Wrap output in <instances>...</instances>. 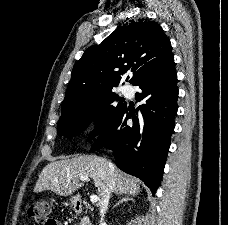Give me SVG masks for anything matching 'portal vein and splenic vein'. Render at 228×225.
Listing matches in <instances>:
<instances>
[{"mask_svg":"<svg viewBox=\"0 0 228 225\" xmlns=\"http://www.w3.org/2000/svg\"><path fill=\"white\" fill-rule=\"evenodd\" d=\"M80 181H88V177H80ZM90 201L91 203H97L98 201L97 195H91Z\"/></svg>","mask_w":228,"mask_h":225,"instance_id":"1","label":"portal vein and splenic vein"}]
</instances>
